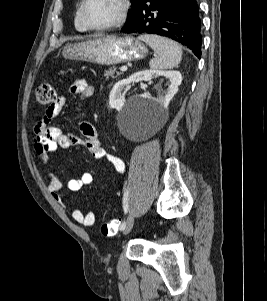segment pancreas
<instances>
[{
    "mask_svg": "<svg viewBox=\"0 0 267 301\" xmlns=\"http://www.w3.org/2000/svg\"><path fill=\"white\" fill-rule=\"evenodd\" d=\"M115 73H116V76H115ZM104 75H105L106 79H108L110 76L112 78H116V77H118L120 75V73L117 72L115 68H110L109 70L105 71Z\"/></svg>",
    "mask_w": 267,
    "mask_h": 301,
    "instance_id": "cf45deb5",
    "label": "pancreas"
}]
</instances>
